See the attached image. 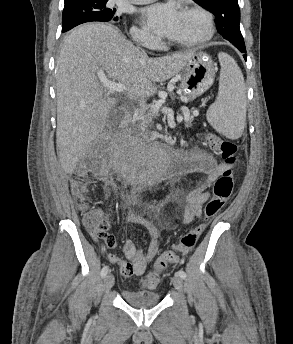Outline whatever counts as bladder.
Here are the masks:
<instances>
[{"label":"bladder","mask_w":293,"mask_h":344,"mask_svg":"<svg viewBox=\"0 0 293 344\" xmlns=\"http://www.w3.org/2000/svg\"><path fill=\"white\" fill-rule=\"evenodd\" d=\"M121 293L125 302L136 308L153 307L161 301V296L158 292L123 289Z\"/></svg>","instance_id":"1"}]
</instances>
